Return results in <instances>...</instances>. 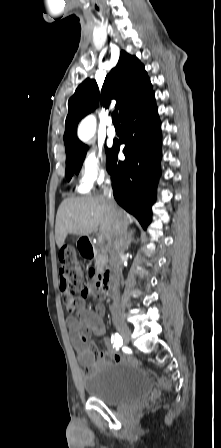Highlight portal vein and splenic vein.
I'll return each instance as SVG.
<instances>
[{
    "label": "portal vein and splenic vein",
    "instance_id": "portal-vein-and-splenic-vein-1",
    "mask_svg": "<svg viewBox=\"0 0 221 448\" xmlns=\"http://www.w3.org/2000/svg\"><path fill=\"white\" fill-rule=\"evenodd\" d=\"M98 241H99V242H102V241H103V235H100V236L98 237Z\"/></svg>",
    "mask_w": 221,
    "mask_h": 448
}]
</instances>
